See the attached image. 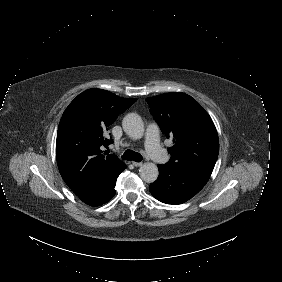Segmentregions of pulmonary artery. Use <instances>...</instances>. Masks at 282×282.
<instances>
[{
    "label": "pulmonary artery",
    "instance_id": "e3ab8cb5",
    "mask_svg": "<svg viewBox=\"0 0 282 282\" xmlns=\"http://www.w3.org/2000/svg\"><path fill=\"white\" fill-rule=\"evenodd\" d=\"M160 140V131L155 125H151L145 131V147L148 149V153L151 156L152 160L155 162H160L164 158V153L161 150L159 141Z\"/></svg>",
    "mask_w": 282,
    "mask_h": 282
}]
</instances>
